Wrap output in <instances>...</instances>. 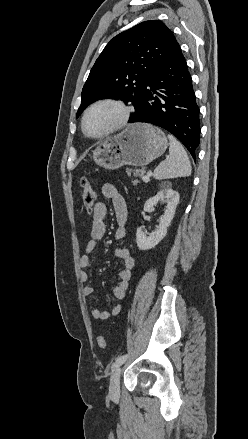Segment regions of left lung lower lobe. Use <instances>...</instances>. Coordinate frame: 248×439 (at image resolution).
<instances>
[{"label":"left lung lower lobe","mask_w":248,"mask_h":439,"mask_svg":"<svg viewBox=\"0 0 248 439\" xmlns=\"http://www.w3.org/2000/svg\"><path fill=\"white\" fill-rule=\"evenodd\" d=\"M128 122H145L164 128L196 158L200 140L199 108L178 43L149 81L139 109Z\"/></svg>","instance_id":"1"}]
</instances>
